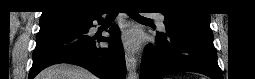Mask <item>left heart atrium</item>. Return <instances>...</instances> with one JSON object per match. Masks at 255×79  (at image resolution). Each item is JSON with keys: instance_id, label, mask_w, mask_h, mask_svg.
<instances>
[{"instance_id": "left-heart-atrium-1", "label": "left heart atrium", "mask_w": 255, "mask_h": 79, "mask_svg": "<svg viewBox=\"0 0 255 79\" xmlns=\"http://www.w3.org/2000/svg\"><path fill=\"white\" fill-rule=\"evenodd\" d=\"M123 45L127 50L135 51L140 45L139 34L134 30H129L123 33L120 37Z\"/></svg>"}]
</instances>
